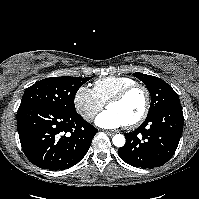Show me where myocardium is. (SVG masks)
<instances>
[{"label":"myocardium","mask_w":199,"mask_h":199,"mask_svg":"<svg viewBox=\"0 0 199 199\" xmlns=\"http://www.w3.org/2000/svg\"><path fill=\"white\" fill-rule=\"evenodd\" d=\"M139 89L141 91H143L144 93V107L142 110V113L140 114V116L135 119L134 121L125 124V127L128 129L131 128H135L137 126H139L147 117L149 110H150V106H151V96H150V92L148 90V88L143 85V84H139V83H134L131 84L125 88H123L120 92H118L115 96H113L108 102H107V107L113 103H118L121 102L122 100L125 99V97L132 91Z\"/></svg>","instance_id":"myocardium-1"}]
</instances>
